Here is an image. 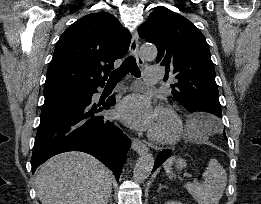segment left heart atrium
<instances>
[{
    "instance_id": "obj_1",
    "label": "left heart atrium",
    "mask_w": 261,
    "mask_h": 204,
    "mask_svg": "<svg viewBox=\"0 0 261 204\" xmlns=\"http://www.w3.org/2000/svg\"><path fill=\"white\" fill-rule=\"evenodd\" d=\"M157 113L151 100L141 94L125 97L116 107V116L126 125L137 130H151Z\"/></svg>"
}]
</instances>
